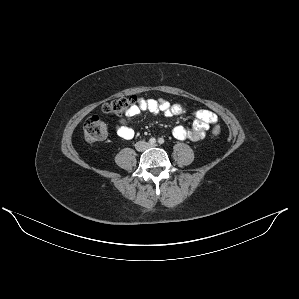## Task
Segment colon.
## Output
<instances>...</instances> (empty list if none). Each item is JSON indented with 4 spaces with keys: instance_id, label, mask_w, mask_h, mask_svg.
Instances as JSON below:
<instances>
[{
    "instance_id": "obj_1",
    "label": "colon",
    "mask_w": 299,
    "mask_h": 299,
    "mask_svg": "<svg viewBox=\"0 0 299 299\" xmlns=\"http://www.w3.org/2000/svg\"><path fill=\"white\" fill-rule=\"evenodd\" d=\"M140 100L137 97H123L112 100L103 105V112L109 115H121L127 113L132 107L137 106ZM213 134L218 136L221 130L214 126ZM108 135L107 123L98 117H90L83 127V138L87 142H98L106 139Z\"/></svg>"
}]
</instances>
